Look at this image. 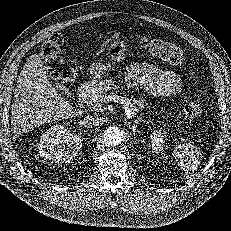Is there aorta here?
Listing matches in <instances>:
<instances>
[{"label":"aorta","mask_w":231,"mask_h":231,"mask_svg":"<svg viewBox=\"0 0 231 231\" xmlns=\"http://www.w3.org/2000/svg\"><path fill=\"white\" fill-rule=\"evenodd\" d=\"M124 140V132L117 126L106 128L103 134V141L109 147H115Z\"/></svg>","instance_id":"1"}]
</instances>
